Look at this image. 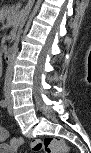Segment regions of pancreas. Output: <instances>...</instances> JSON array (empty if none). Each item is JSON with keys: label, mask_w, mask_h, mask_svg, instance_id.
Returning <instances> with one entry per match:
<instances>
[{"label": "pancreas", "mask_w": 91, "mask_h": 153, "mask_svg": "<svg viewBox=\"0 0 91 153\" xmlns=\"http://www.w3.org/2000/svg\"><path fill=\"white\" fill-rule=\"evenodd\" d=\"M2 20L7 19L8 25L15 28L18 23V11L14 6H5L0 11ZM15 33V30L12 31V34Z\"/></svg>", "instance_id": "cf45deb5"}]
</instances>
